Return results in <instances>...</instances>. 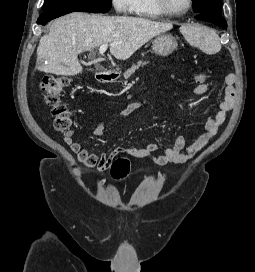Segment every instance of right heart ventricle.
<instances>
[{
    "mask_svg": "<svg viewBox=\"0 0 255 272\" xmlns=\"http://www.w3.org/2000/svg\"><path fill=\"white\" fill-rule=\"evenodd\" d=\"M134 12L138 16L147 18H160L163 16L162 12L158 9L155 0H135Z\"/></svg>",
    "mask_w": 255,
    "mask_h": 272,
    "instance_id": "right-heart-ventricle-1",
    "label": "right heart ventricle"
}]
</instances>
